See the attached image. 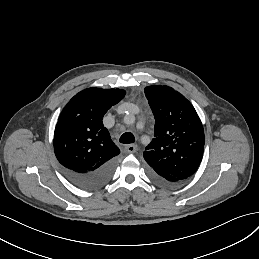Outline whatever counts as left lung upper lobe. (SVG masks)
I'll use <instances>...</instances> for the list:
<instances>
[{"instance_id":"left-lung-upper-lobe-1","label":"left lung upper lobe","mask_w":259,"mask_h":259,"mask_svg":"<svg viewBox=\"0 0 259 259\" xmlns=\"http://www.w3.org/2000/svg\"><path fill=\"white\" fill-rule=\"evenodd\" d=\"M155 118L154 138L144 151L149 172L159 180L182 183L198 169L204 152V130L192 104L168 86L145 88Z\"/></svg>"}]
</instances>
